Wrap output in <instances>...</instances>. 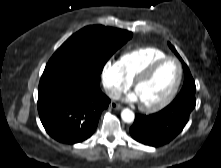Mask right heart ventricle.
Here are the masks:
<instances>
[{"label":"right heart ventricle","instance_id":"1","mask_svg":"<svg viewBox=\"0 0 221 168\" xmlns=\"http://www.w3.org/2000/svg\"><path fill=\"white\" fill-rule=\"evenodd\" d=\"M166 56L158 48L142 47L123 53L118 63L125 78L131 82L149 64Z\"/></svg>","mask_w":221,"mask_h":168}]
</instances>
